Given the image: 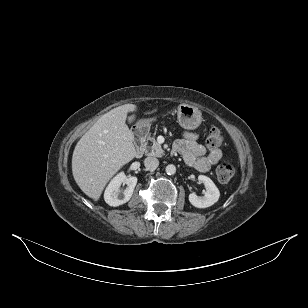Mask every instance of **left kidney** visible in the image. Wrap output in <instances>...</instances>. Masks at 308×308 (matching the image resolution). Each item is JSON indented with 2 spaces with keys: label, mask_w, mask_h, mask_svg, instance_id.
Instances as JSON below:
<instances>
[{
  "label": "left kidney",
  "mask_w": 308,
  "mask_h": 308,
  "mask_svg": "<svg viewBox=\"0 0 308 308\" xmlns=\"http://www.w3.org/2000/svg\"><path fill=\"white\" fill-rule=\"evenodd\" d=\"M198 180L204 184L206 191L203 197H199L195 193H190V203L197 208H207L214 205L219 200L220 196L218 188L214 182L205 175H199Z\"/></svg>",
  "instance_id": "left-kidney-1"
}]
</instances>
